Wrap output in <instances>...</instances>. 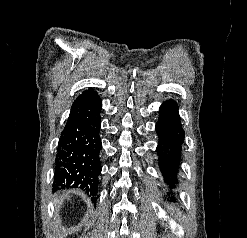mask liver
<instances>
[{
	"mask_svg": "<svg viewBox=\"0 0 247 238\" xmlns=\"http://www.w3.org/2000/svg\"><path fill=\"white\" fill-rule=\"evenodd\" d=\"M70 196L68 193H63V195H57V197L54 199L55 203V209L56 211H60L62 203L64 202L65 199H69Z\"/></svg>",
	"mask_w": 247,
	"mask_h": 238,
	"instance_id": "1",
	"label": "liver"
}]
</instances>
